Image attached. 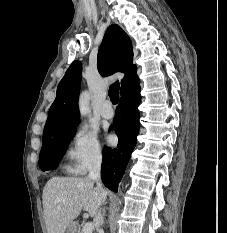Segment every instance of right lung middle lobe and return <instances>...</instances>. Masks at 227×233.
Segmentation results:
<instances>
[{"mask_svg":"<svg viewBox=\"0 0 227 233\" xmlns=\"http://www.w3.org/2000/svg\"><path fill=\"white\" fill-rule=\"evenodd\" d=\"M76 129H72L58 137L42 141V149L39 157V166L42 171L53 170L65 154L68 144L75 135Z\"/></svg>","mask_w":227,"mask_h":233,"instance_id":"dd1d6c3e","label":"right lung middle lobe"}]
</instances>
